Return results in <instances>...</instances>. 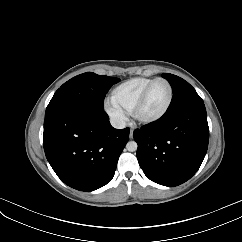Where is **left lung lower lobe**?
<instances>
[{
  "label": "left lung lower lobe",
  "instance_id": "left-lung-lower-lobe-1",
  "mask_svg": "<svg viewBox=\"0 0 242 242\" xmlns=\"http://www.w3.org/2000/svg\"><path fill=\"white\" fill-rule=\"evenodd\" d=\"M144 174L164 186H177L199 169L208 148L209 128L203 102L166 112L134 131Z\"/></svg>",
  "mask_w": 242,
  "mask_h": 242
}]
</instances>
